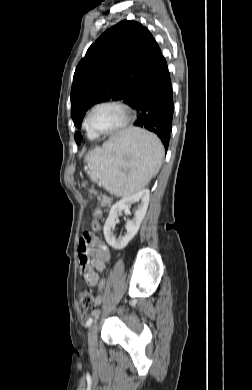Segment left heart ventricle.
Segmentation results:
<instances>
[{
    "mask_svg": "<svg viewBox=\"0 0 252 390\" xmlns=\"http://www.w3.org/2000/svg\"><path fill=\"white\" fill-rule=\"evenodd\" d=\"M121 120V113L114 107H100L91 117V126L95 130L104 131L113 128Z\"/></svg>",
    "mask_w": 252,
    "mask_h": 390,
    "instance_id": "obj_1",
    "label": "left heart ventricle"
}]
</instances>
